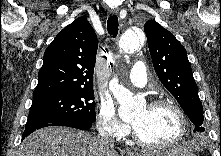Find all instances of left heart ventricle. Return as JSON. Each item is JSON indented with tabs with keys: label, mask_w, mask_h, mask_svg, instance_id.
Masks as SVG:
<instances>
[{
	"label": "left heart ventricle",
	"mask_w": 221,
	"mask_h": 156,
	"mask_svg": "<svg viewBox=\"0 0 221 156\" xmlns=\"http://www.w3.org/2000/svg\"><path fill=\"white\" fill-rule=\"evenodd\" d=\"M132 124L139 135L151 143H167L177 136L180 129L177 114L166 106L143 108L135 115Z\"/></svg>",
	"instance_id": "b2bd125f"
}]
</instances>
